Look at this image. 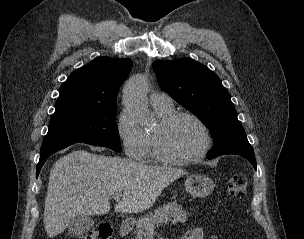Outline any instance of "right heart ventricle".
I'll return each instance as SVG.
<instances>
[{
	"label": "right heart ventricle",
	"instance_id": "e07e8e85",
	"mask_svg": "<svg viewBox=\"0 0 304 239\" xmlns=\"http://www.w3.org/2000/svg\"><path fill=\"white\" fill-rule=\"evenodd\" d=\"M152 107L160 120L175 112L172 104H152ZM153 133L154 131L147 132L150 147H152Z\"/></svg>",
	"mask_w": 304,
	"mask_h": 239
}]
</instances>
